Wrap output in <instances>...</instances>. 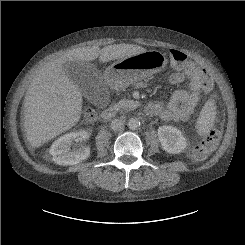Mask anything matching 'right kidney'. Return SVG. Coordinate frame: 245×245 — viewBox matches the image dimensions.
Segmentation results:
<instances>
[{
  "instance_id": "right-kidney-1",
  "label": "right kidney",
  "mask_w": 245,
  "mask_h": 245,
  "mask_svg": "<svg viewBox=\"0 0 245 245\" xmlns=\"http://www.w3.org/2000/svg\"><path fill=\"white\" fill-rule=\"evenodd\" d=\"M89 138L86 131L71 132L58 138L50 148L53 161L62 166L75 165L90 155V148L81 146L71 149L74 142H82Z\"/></svg>"
}]
</instances>
